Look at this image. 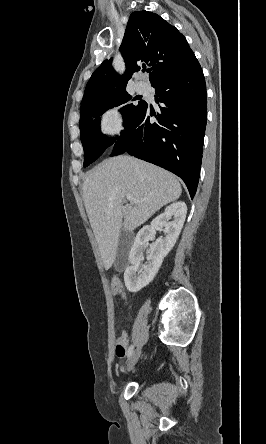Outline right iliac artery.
Instances as JSON below:
<instances>
[{"mask_svg": "<svg viewBox=\"0 0 266 444\" xmlns=\"http://www.w3.org/2000/svg\"><path fill=\"white\" fill-rule=\"evenodd\" d=\"M133 349H134V345H131L130 347H129V349H128V357H130L131 356V354L133 353Z\"/></svg>", "mask_w": 266, "mask_h": 444, "instance_id": "82829eb1", "label": "right iliac artery"}]
</instances>
